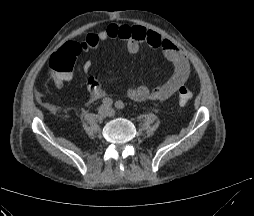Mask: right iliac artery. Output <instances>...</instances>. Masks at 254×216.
Listing matches in <instances>:
<instances>
[{
	"mask_svg": "<svg viewBox=\"0 0 254 216\" xmlns=\"http://www.w3.org/2000/svg\"><path fill=\"white\" fill-rule=\"evenodd\" d=\"M102 103L105 105V106H111L113 104V100L111 98H104L102 100Z\"/></svg>",
	"mask_w": 254,
	"mask_h": 216,
	"instance_id": "right-iliac-artery-1",
	"label": "right iliac artery"
}]
</instances>
